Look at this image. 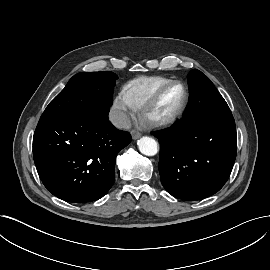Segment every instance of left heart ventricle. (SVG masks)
Listing matches in <instances>:
<instances>
[{
	"label": "left heart ventricle",
	"mask_w": 270,
	"mask_h": 270,
	"mask_svg": "<svg viewBox=\"0 0 270 270\" xmlns=\"http://www.w3.org/2000/svg\"><path fill=\"white\" fill-rule=\"evenodd\" d=\"M182 99V89L179 86L169 88L163 95L156 113H162L176 106Z\"/></svg>",
	"instance_id": "1"
}]
</instances>
